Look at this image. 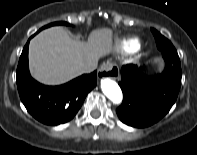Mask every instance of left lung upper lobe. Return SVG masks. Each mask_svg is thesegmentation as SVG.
I'll return each instance as SVG.
<instances>
[{
  "label": "left lung upper lobe",
  "instance_id": "left-lung-upper-lobe-1",
  "mask_svg": "<svg viewBox=\"0 0 197 155\" xmlns=\"http://www.w3.org/2000/svg\"><path fill=\"white\" fill-rule=\"evenodd\" d=\"M156 43H157V47L158 49L164 53V52H174L177 53L176 49L174 48V46L172 45V43L165 38L163 35H161L157 30L155 29H151Z\"/></svg>",
  "mask_w": 197,
  "mask_h": 155
}]
</instances>
